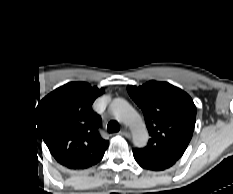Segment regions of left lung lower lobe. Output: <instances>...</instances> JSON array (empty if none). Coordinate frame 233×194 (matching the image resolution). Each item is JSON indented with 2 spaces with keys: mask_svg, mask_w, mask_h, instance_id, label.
Masks as SVG:
<instances>
[{
  "mask_svg": "<svg viewBox=\"0 0 233 194\" xmlns=\"http://www.w3.org/2000/svg\"><path fill=\"white\" fill-rule=\"evenodd\" d=\"M133 155L135 160L141 167L154 171L164 170L166 168H169L175 163L171 160H160V159L150 158L148 156L140 154L135 149L133 150Z\"/></svg>",
  "mask_w": 233,
  "mask_h": 194,
  "instance_id": "0a47b994",
  "label": "left lung lower lobe"
}]
</instances>
